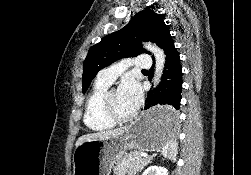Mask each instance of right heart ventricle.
Returning a JSON list of instances; mask_svg holds the SVG:
<instances>
[{
  "label": "right heart ventricle",
  "instance_id": "e07e8e85",
  "mask_svg": "<svg viewBox=\"0 0 251 175\" xmlns=\"http://www.w3.org/2000/svg\"><path fill=\"white\" fill-rule=\"evenodd\" d=\"M109 86V84L101 82L97 79L86 97L83 120L87 128L91 131H107L115 125V122L108 119L102 113L100 106L101 98Z\"/></svg>",
  "mask_w": 251,
  "mask_h": 175
}]
</instances>
